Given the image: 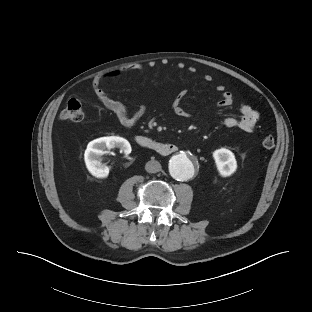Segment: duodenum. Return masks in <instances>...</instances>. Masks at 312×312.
Here are the masks:
<instances>
[{
    "instance_id": "duodenum-1",
    "label": "duodenum",
    "mask_w": 312,
    "mask_h": 312,
    "mask_svg": "<svg viewBox=\"0 0 312 312\" xmlns=\"http://www.w3.org/2000/svg\"><path fill=\"white\" fill-rule=\"evenodd\" d=\"M134 141L138 146L161 155H169L178 150V146L174 143L160 142L149 136H136Z\"/></svg>"
}]
</instances>
